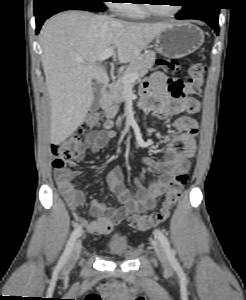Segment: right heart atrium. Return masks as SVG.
Returning <instances> with one entry per match:
<instances>
[{
    "label": "right heart atrium",
    "mask_w": 246,
    "mask_h": 300,
    "mask_svg": "<svg viewBox=\"0 0 246 300\" xmlns=\"http://www.w3.org/2000/svg\"><path fill=\"white\" fill-rule=\"evenodd\" d=\"M121 1H125V0H110V5L113 9L118 10L120 9V6L124 3H120Z\"/></svg>",
    "instance_id": "d8ad5b80"
}]
</instances>
